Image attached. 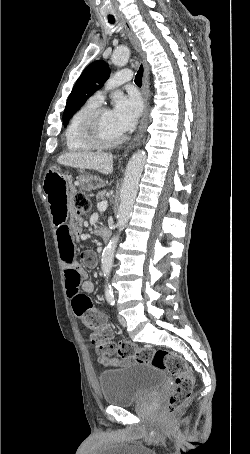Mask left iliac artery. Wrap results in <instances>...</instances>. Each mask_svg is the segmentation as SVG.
Instances as JSON below:
<instances>
[{"label": "left iliac artery", "mask_w": 250, "mask_h": 454, "mask_svg": "<svg viewBox=\"0 0 250 454\" xmlns=\"http://www.w3.org/2000/svg\"><path fill=\"white\" fill-rule=\"evenodd\" d=\"M107 301H108L111 305H114V304H115V299H114V297H108V298H107Z\"/></svg>", "instance_id": "44dca946"}]
</instances>
